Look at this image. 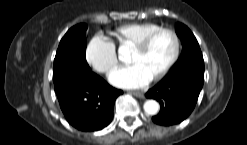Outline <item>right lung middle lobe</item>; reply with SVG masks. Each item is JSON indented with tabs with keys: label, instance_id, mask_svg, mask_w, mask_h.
<instances>
[{
	"label": "right lung middle lobe",
	"instance_id": "dd1d6c3e",
	"mask_svg": "<svg viewBox=\"0 0 247 145\" xmlns=\"http://www.w3.org/2000/svg\"><path fill=\"white\" fill-rule=\"evenodd\" d=\"M86 24H78L61 39L54 59L53 76L72 67L89 68L86 53Z\"/></svg>",
	"mask_w": 247,
	"mask_h": 145
}]
</instances>
